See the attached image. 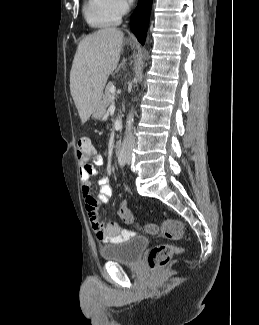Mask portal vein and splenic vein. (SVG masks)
Listing matches in <instances>:
<instances>
[{"instance_id": "18ae733b", "label": "portal vein and splenic vein", "mask_w": 259, "mask_h": 325, "mask_svg": "<svg viewBox=\"0 0 259 325\" xmlns=\"http://www.w3.org/2000/svg\"><path fill=\"white\" fill-rule=\"evenodd\" d=\"M110 90H111V94H112L111 99H114L115 98L116 87L114 85H112Z\"/></svg>"}]
</instances>
